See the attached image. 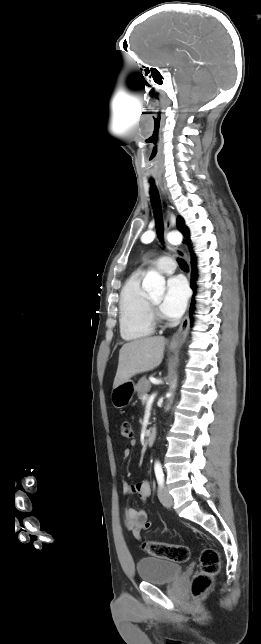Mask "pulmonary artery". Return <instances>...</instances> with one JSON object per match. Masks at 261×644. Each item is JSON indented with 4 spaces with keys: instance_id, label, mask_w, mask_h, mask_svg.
<instances>
[{
    "instance_id": "e3ab8cb5",
    "label": "pulmonary artery",
    "mask_w": 261,
    "mask_h": 644,
    "mask_svg": "<svg viewBox=\"0 0 261 644\" xmlns=\"http://www.w3.org/2000/svg\"><path fill=\"white\" fill-rule=\"evenodd\" d=\"M152 264L165 273L172 272L175 269V262L167 256H161L155 259Z\"/></svg>"
}]
</instances>
